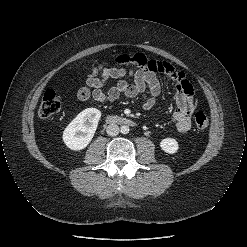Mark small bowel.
I'll return each instance as SVG.
<instances>
[{
    "label": "small bowel",
    "instance_id": "c3829d8e",
    "mask_svg": "<svg viewBox=\"0 0 247 247\" xmlns=\"http://www.w3.org/2000/svg\"><path fill=\"white\" fill-rule=\"evenodd\" d=\"M115 62V66L103 69L99 76H92L86 80V87L81 88L77 94L81 102H87L91 98L97 102H113L122 95L133 98L148 91L149 97L142 103V108L150 110L161 93L158 78L161 74L175 83L176 108L173 121L176 129L181 134L189 132L197 100L192 84L182 71L168 62L154 60L141 53L132 56L120 55L116 57ZM125 77H131L133 83L127 82ZM111 79L118 81L105 91L104 87Z\"/></svg>",
    "mask_w": 247,
    "mask_h": 247
}]
</instances>
